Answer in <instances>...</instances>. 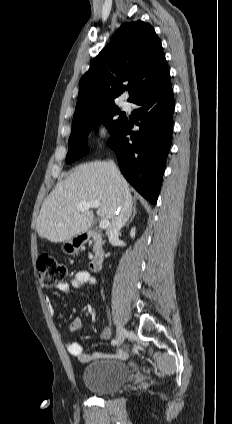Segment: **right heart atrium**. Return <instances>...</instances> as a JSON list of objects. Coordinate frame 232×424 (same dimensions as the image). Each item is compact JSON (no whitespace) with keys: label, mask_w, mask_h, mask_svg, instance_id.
Listing matches in <instances>:
<instances>
[{"label":"right heart atrium","mask_w":232,"mask_h":424,"mask_svg":"<svg viewBox=\"0 0 232 424\" xmlns=\"http://www.w3.org/2000/svg\"><path fill=\"white\" fill-rule=\"evenodd\" d=\"M110 134L109 126L105 122H99L93 129L92 141L95 146H102Z\"/></svg>","instance_id":"1"}]
</instances>
